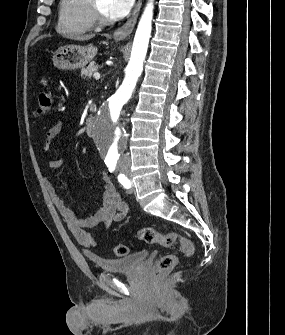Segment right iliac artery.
Masks as SVG:
<instances>
[{"instance_id":"82829eb1","label":"right iliac artery","mask_w":285,"mask_h":335,"mask_svg":"<svg viewBox=\"0 0 285 335\" xmlns=\"http://www.w3.org/2000/svg\"><path fill=\"white\" fill-rule=\"evenodd\" d=\"M106 165L110 172H113L115 170V166H116L115 162H107Z\"/></svg>"}]
</instances>
